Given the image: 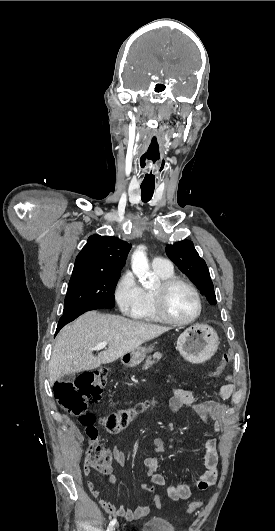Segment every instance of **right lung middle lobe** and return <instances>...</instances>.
Listing matches in <instances>:
<instances>
[{"label": "right lung middle lobe", "instance_id": "dd1d6c3e", "mask_svg": "<svg viewBox=\"0 0 275 531\" xmlns=\"http://www.w3.org/2000/svg\"><path fill=\"white\" fill-rule=\"evenodd\" d=\"M121 274L93 273L72 276L63 314L114 307V290Z\"/></svg>", "mask_w": 275, "mask_h": 531}]
</instances>
